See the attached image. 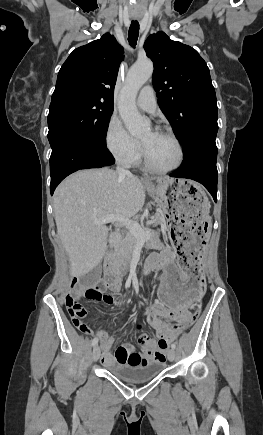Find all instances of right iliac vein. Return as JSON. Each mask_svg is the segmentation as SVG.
<instances>
[{"label": "right iliac vein", "instance_id": "obj_1", "mask_svg": "<svg viewBox=\"0 0 263 435\" xmlns=\"http://www.w3.org/2000/svg\"><path fill=\"white\" fill-rule=\"evenodd\" d=\"M93 360L97 361L100 357V348L98 345H95L92 352Z\"/></svg>", "mask_w": 263, "mask_h": 435}]
</instances>
